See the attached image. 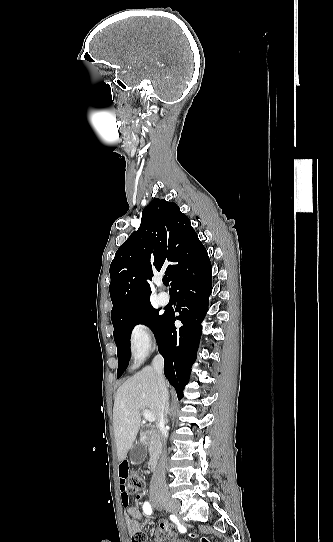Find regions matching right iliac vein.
Instances as JSON below:
<instances>
[{"label": "right iliac vein", "mask_w": 333, "mask_h": 542, "mask_svg": "<svg viewBox=\"0 0 333 542\" xmlns=\"http://www.w3.org/2000/svg\"><path fill=\"white\" fill-rule=\"evenodd\" d=\"M155 495H153V498ZM161 507H164L165 509H169L174 511L175 513L180 509V503L177 499H174L169 496V494H164V502H160L158 504Z\"/></svg>", "instance_id": "63e3f726"}]
</instances>
